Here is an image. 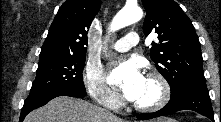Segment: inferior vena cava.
<instances>
[{"label": "inferior vena cava", "instance_id": "1", "mask_svg": "<svg viewBox=\"0 0 221 122\" xmlns=\"http://www.w3.org/2000/svg\"><path fill=\"white\" fill-rule=\"evenodd\" d=\"M110 116H113V114L112 113H110V112H107Z\"/></svg>", "mask_w": 221, "mask_h": 122}]
</instances>
